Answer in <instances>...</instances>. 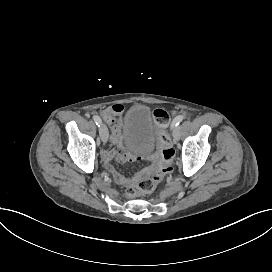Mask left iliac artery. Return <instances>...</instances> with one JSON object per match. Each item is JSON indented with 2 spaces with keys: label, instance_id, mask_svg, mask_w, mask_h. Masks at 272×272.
Here are the masks:
<instances>
[{
  "label": "left iliac artery",
  "instance_id": "44dca946",
  "mask_svg": "<svg viewBox=\"0 0 272 272\" xmlns=\"http://www.w3.org/2000/svg\"><path fill=\"white\" fill-rule=\"evenodd\" d=\"M183 116L182 115H179V116H177L174 120H173V122H172V124H171V127L173 128V127H176V126H178L179 124H180V122L183 120Z\"/></svg>",
  "mask_w": 272,
  "mask_h": 272
}]
</instances>
